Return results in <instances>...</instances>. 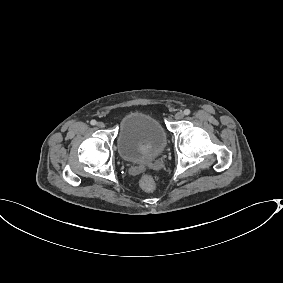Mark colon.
<instances>
[{
    "instance_id": "colon-1",
    "label": "colon",
    "mask_w": 283,
    "mask_h": 283,
    "mask_svg": "<svg viewBox=\"0 0 283 283\" xmlns=\"http://www.w3.org/2000/svg\"><path fill=\"white\" fill-rule=\"evenodd\" d=\"M140 186L147 192H153L156 189V182L151 175L145 174L140 179Z\"/></svg>"
}]
</instances>
